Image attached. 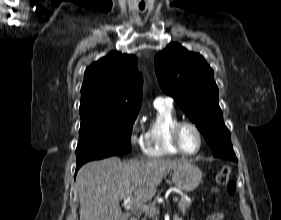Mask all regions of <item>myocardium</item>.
I'll use <instances>...</instances> for the list:
<instances>
[{"label": "myocardium", "mask_w": 281, "mask_h": 220, "mask_svg": "<svg viewBox=\"0 0 281 220\" xmlns=\"http://www.w3.org/2000/svg\"><path fill=\"white\" fill-rule=\"evenodd\" d=\"M184 127L192 128L198 136L199 145H198V148L193 152H187L186 150H184V148L181 144L180 134ZM171 142H172L173 146L179 151L180 154H183L185 156H193V155L198 154L203 146V134H202L201 129L194 122L179 121L173 126V128L171 130Z\"/></svg>", "instance_id": "myocardium-1"}]
</instances>
